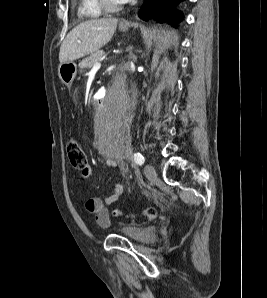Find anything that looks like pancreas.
Listing matches in <instances>:
<instances>
[{"label": "pancreas", "instance_id": "1", "mask_svg": "<svg viewBox=\"0 0 267 298\" xmlns=\"http://www.w3.org/2000/svg\"><path fill=\"white\" fill-rule=\"evenodd\" d=\"M104 56L103 50H98L90 54L89 57L83 59L79 63L80 69H89L91 68L97 61L101 60V58Z\"/></svg>", "mask_w": 267, "mask_h": 298}]
</instances>
